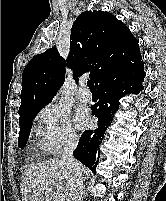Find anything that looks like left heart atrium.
<instances>
[{
	"mask_svg": "<svg viewBox=\"0 0 166 201\" xmlns=\"http://www.w3.org/2000/svg\"><path fill=\"white\" fill-rule=\"evenodd\" d=\"M75 121L79 127H84L88 122L87 115L83 112H78L75 117Z\"/></svg>",
	"mask_w": 166,
	"mask_h": 201,
	"instance_id": "obj_1",
	"label": "left heart atrium"
}]
</instances>
